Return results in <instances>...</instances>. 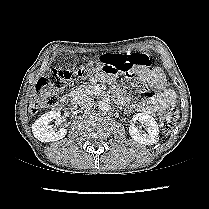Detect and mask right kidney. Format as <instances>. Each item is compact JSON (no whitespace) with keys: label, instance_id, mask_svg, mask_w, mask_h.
Returning a JSON list of instances; mask_svg holds the SVG:
<instances>
[{"label":"right kidney","instance_id":"1","mask_svg":"<svg viewBox=\"0 0 209 209\" xmlns=\"http://www.w3.org/2000/svg\"><path fill=\"white\" fill-rule=\"evenodd\" d=\"M61 117L60 111H50L40 116L32 125V132L36 139L41 142L58 141L64 138L67 134V130L61 128L55 132L52 129V125H49L53 120H59Z\"/></svg>","mask_w":209,"mask_h":209}]
</instances>
